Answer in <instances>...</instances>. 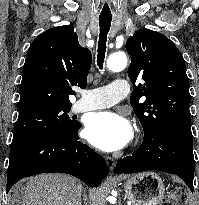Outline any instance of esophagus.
<instances>
[{
	"label": "esophagus",
	"mask_w": 199,
	"mask_h": 205,
	"mask_svg": "<svg viewBox=\"0 0 199 205\" xmlns=\"http://www.w3.org/2000/svg\"><path fill=\"white\" fill-rule=\"evenodd\" d=\"M105 160H106V163H107L109 169L112 171L115 167V160L109 156H107L105 158Z\"/></svg>",
	"instance_id": "obj_1"
}]
</instances>
